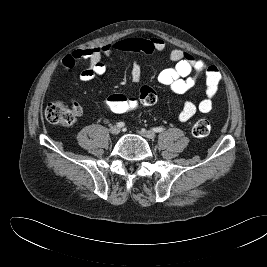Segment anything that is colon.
<instances>
[{
	"label": "colon",
	"mask_w": 267,
	"mask_h": 267,
	"mask_svg": "<svg viewBox=\"0 0 267 267\" xmlns=\"http://www.w3.org/2000/svg\"><path fill=\"white\" fill-rule=\"evenodd\" d=\"M156 101L157 94L155 90L151 87L143 86L137 96H128L121 93L111 94L106 97L104 105L112 113L125 114L141 107L151 106ZM45 117L52 124L69 126L75 122L76 112L61 102H53L46 107ZM210 130L211 125L206 119L196 121L192 127L193 135L198 138L207 136Z\"/></svg>",
	"instance_id": "1"
}]
</instances>
